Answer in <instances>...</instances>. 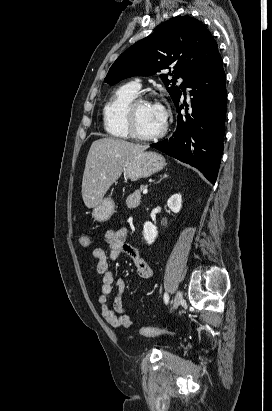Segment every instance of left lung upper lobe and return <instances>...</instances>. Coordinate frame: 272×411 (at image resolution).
Masks as SVG:
<instances>
[{"instance_id": "left-lung-upper-lobe-1", "label": "left lung upper lobe", "mask_w": 272, "mask_h": 411, "mask_svg": "<svg viewBox=\"0 0 272 411\" xmlns=\"http://www.w3.org/2000/svg\"><path fill=\"white\" fill-rule=\"evenodd\" d=\"M217 53L215 39L198 19L177 16L122 53L104 81L114 85L125 78L150 76L171 66L172 73L161 74L160 78L176 104L185 88L202 73ZM178 78H183L180 86L175 85Z\"/></svg>"}]
</instances>
